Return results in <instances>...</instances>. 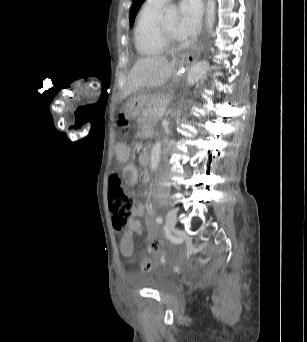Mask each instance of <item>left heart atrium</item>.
Returning <instances> with one entry per match:
<instances>
[{
  "mask_svg": "<svg viewBox=\"0 0 307 342\" xmlns=\"http://www.w3.org/2000/svg\"><path fill=\"white\" fill-rule=\"evenodd\" d=\"M202 9L196 1L181 5V17L175 28V36L181 44H188L198 35L201 27Z\"/></svg>",
  "mask_w": 307,
  "mask_h": 342,
  "instance_id": "left-heart-atrium-1",
  "label": "left heart atrium"
}]
</instances>
